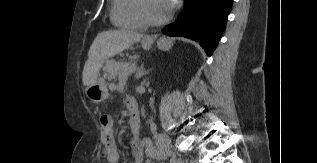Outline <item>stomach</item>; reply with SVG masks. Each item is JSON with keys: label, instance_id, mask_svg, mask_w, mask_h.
<instances>
[{"label": "stomach", "instance_id": "stomach-1", "mask_svg": "<svg viewBox=\"0 0 317 163\" xmlns=\"http://www.w3.org/2000/svg\"><path fill=\"white\" fill-rule=\"evenodd\" d=\"M172 44V41L167 38H161L157 42L158 47L162 50H169ZM142 47L143 49L148 50L151 48V43L143 41ZM85 94L93 103L104 102L109 96L108 88L104 79L99 78L95 83L89 85L85 89Z\"/></svg>", "mask_w": 317, "mask_h": 163}]
</instances>
